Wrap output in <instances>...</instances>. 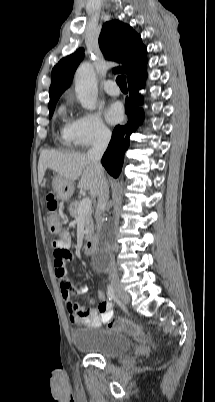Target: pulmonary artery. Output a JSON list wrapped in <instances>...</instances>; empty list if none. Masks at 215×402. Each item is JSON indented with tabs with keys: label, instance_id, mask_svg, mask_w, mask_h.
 Returning <instances> with one entry per match:
<instances>
[{
	"label": "pulmonary artery",
	"instance_id": "obj_1",
	"mask_svg": "<svg viewBox=\"0 0 215 402\" xmlns=\"http://www.w3.org/2000/svg\"><path fill=\"white\" fill-rule=\"evenodd\" d=\"M104 90L106 93L112 96H117L120 94V89L113 80H107L104 85Z\"/></svg>",
	"mask_w": 215,
	"mask_h": 402
}]
</instances>
